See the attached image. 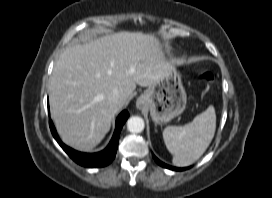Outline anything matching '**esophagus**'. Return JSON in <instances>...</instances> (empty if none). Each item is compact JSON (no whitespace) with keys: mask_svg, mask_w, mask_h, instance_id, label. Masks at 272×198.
<instances>
[{"mask_svg":"<svg viewBox=\"0 0 272 198\" xmlns=\"http://www.w3.org/2000/svg\"><path fill=\"white\" fill-rule=\"evenodd\" d=\"M143 100H142V98L140 97V98H138V100H137V102H136V105H137V107L138 108H141L142 107V105H143Z\"/></svg>","mask_w":272,"mask_h":198,"instance_id":"1","label":"esophagus"}]
</instances>
